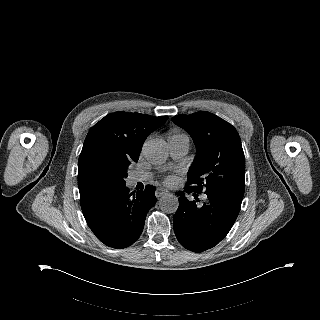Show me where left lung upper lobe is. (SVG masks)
Listing matches in <instances>:
<instances>
[{"label": "left lung upper lobe", "instance_id": "1", "mask_svg": "<svg viewBox=\"0 0 320 320\" xmlns=\"http://www.w3.org/2000/svg\"><path fill=\"white\" fill-rule=\"evenodd\" d=\"M173 121L191 135L196 145L187 186L198 194L226 190L243 197L245 157L235 128L202 111L175 116Z\"/></svg>", "mask_w": 320, "mask_h": 320}]
</instances>
